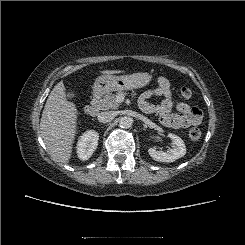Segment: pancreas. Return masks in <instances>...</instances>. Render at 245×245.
<instances>
[{
    "label": "pancreas",
    "mask_w": 245,
    "mask_h": 245,
    "mask_svg": "<svg viewBox=\"0 0 245 245\" xmlns=\"http://www.w3.org/2000/svg\"><path fill=\"white\" fill-rule=\"evenodd\" d=\"M127 93L118 90L116 94L113 93H107L103 96V98L100 100V108L102 110H109V109H117L119 107V103L116 101V98L118 95H126Z\"/></svg>",
    "instance_id": "1"
}]
</instances>
